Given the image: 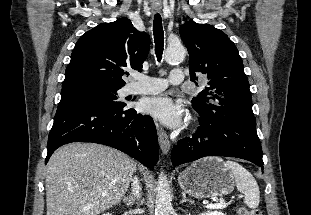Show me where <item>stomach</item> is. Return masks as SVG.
Segmentation results:
<instances>
[{
  "label": "stomach",
  "mask_w": 311,
  "mask_h": 215,
  "mask_svg": "<svg viewBox=\"0 0 311 215\" xmlns=\"http://www.w3.org/2000/svg\"><path fill=\"white\" fill-rule=\"evenodd\" d=\"M182 190L197 199H213L230 194L235 178L218 157H206L188 166L179 174Z\"/></svg>",
  "instance_id": "stomach-1"
}]
</instances>
